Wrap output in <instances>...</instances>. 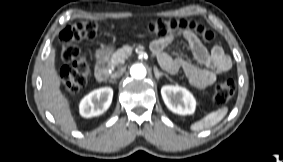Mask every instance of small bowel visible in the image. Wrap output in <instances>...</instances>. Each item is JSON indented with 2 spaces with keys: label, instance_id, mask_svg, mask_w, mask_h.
Masks as SVG:
<instances>
[{
  "label": "small bowel",
  "instance_id": "small-bowel-1",
  "mask_svg": "<svg viewBox=\"0 0 283 162\" xmlns=\"http://www.w3.org/2000/svg\"><path fill=\"white\" fill-rule=\"evenodd\" d=\"M182 36L199 66L180 57L174 58L165 52V48L175 37V35H170L156 39L151 43L152 52L157 56L160 65L166 71L176 73L183 70L192 85L204 89L211 86L219 75L231 68L232 61L221 47L215 46L208 51L194 34L184 33Z\"/></svg>",
  "mask_w": 283,
  "mask_h": 162
}]
</instances>
